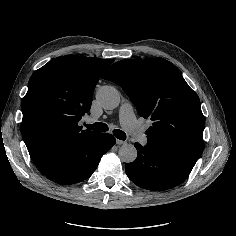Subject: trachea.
<instances>
[{
	"instance_id": "trachea-1",
	"label": "trachea",
	"mask_w": 236,
	"mask_h": 236,
	"mask_svg": "<svg viewBox=\"0 0 236 236\" xmlns=\"http://www.w3.org/2000/svg\"><path fill=\"white\" fill-rule=\"evenodd\" d=\"M88 129L90 130H94L97 132H106L108 130V126L105 123H94V124H84ZM113 134L115 135L116 138L120 139V140H125L126 139V134L119 130V129H115L113 130Z\"/></svg>"
}]
</instances>
